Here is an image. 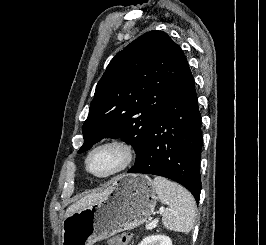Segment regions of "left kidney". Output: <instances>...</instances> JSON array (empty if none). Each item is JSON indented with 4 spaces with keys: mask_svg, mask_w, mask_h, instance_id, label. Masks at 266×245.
<instances>
[{
    "mask_svg": "<svg viewBox=\"0 0 266 245\" xmlns=\"http://www.w3.org/2000/svg\"><path fill=\"white\" fill-rule=\"evenodd\" d=\"M139 245H172V241L166 235H148Z\"/></svg>",
    "mask_w": 266,
    "mask_h": 245,
    "instance_id": "1",
    "label": "left kidney"
}]
</instances>
